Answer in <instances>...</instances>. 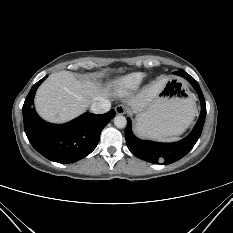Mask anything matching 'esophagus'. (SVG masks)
I'll use <instances>...</instances> for the list:
<instances>
[{"mask_svg":"<svg viewBox=\"0 0 233 233\" xmlns=\"http://www.w3.org/2000/svg\"><path fill=\"white\" fill-rule=\"evenodd\" d=\"M115 111H116V114L123 115V114H125L127 112V109L123 105H118V106L115 107Z\"/></svg>","mask_w":233,"mask_h":233,"instance_id":"esophagus-1","label":"esophagus"}]
</instances>
